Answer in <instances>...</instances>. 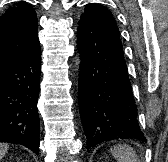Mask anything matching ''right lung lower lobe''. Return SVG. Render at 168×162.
I'll list each match as a JSON object with an SVG mask.
<instances>
[{
  "instance_id": "98d812e1",
  "label": "right lung lower lobe",
  "mask_w": 168,
  "mask_h": 162,
  "mask_svg": "<svg viewBox=\"0 0 168 162\" xmlns=\"http://www.w3.org/2000/svg\"><path fill=\"white\" fill-rule=\"evenodd\" d=\"M40 48L0 67V142L39 153Z\"/></svg>"
}]
</instances>
